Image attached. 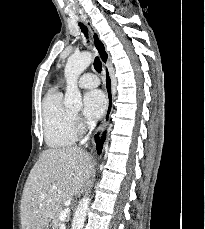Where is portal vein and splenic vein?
<instances>
[{
  "label": "portal vein and splenic vein",
  "mask_w": 205,
  "mask_h": 229,
  "mask_svg": "<svg viewBox=\"0 0 205 229\" xmlns=\"http://www.w3.org/2000/svg\"><path fill=\"white\" fill-rule=\"evenodd\" d=\"M70 214V208H66L64 211H62L59 215V219L61 221H65L67 219V217L69 216Z\"/></svg>",
  "instance_id": "obj_1"
}]
</instances>
